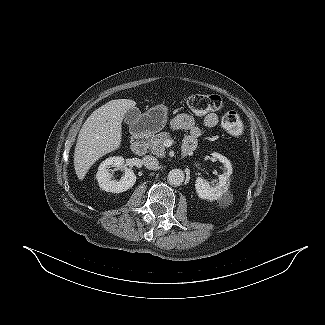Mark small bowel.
<instances>
[{
    "mask_svg": "<svg viewBox=\"0 0 325 325\" xmlns=\"http://www.w3.org/2000/svg\"><path fill=\"white\" fill-rule=\"evenodd\" d=\"M202 124L206 128H214L218 124V117L214 113H208L203 117ZM173 129L188 131L185 137L183 146H197V140L201 135V128L196 124L195 119L186 113L179 114L171 121Z\"/></svg>",
    "mask_w": 325,
    "mask_h": 325,
    "instance_id": "c3829d8e",
    "label": "small bowel"
}]
</instances>
